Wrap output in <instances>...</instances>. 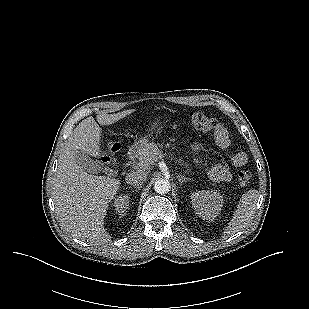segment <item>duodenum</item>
Wrapping results in <instances>:
<instances>
[{
  "label": "duodenum",
  "mask_w": 309,
  "mask_h": 309,
  "mask_svg": "<svg viewBox=\"0 0 309 309\" xmlns=\"http://www.w3.org/2000/svg\"><path fill=\"white\" fill-rule=\"evenodd\" d=\"M138 156V150L136 148H131L128 153H127V157L130 161H133L137 158Z\"/></svg>",
  "instance_id": "410a0bca"
}]
</instances>
